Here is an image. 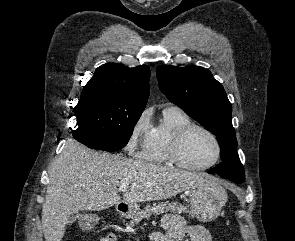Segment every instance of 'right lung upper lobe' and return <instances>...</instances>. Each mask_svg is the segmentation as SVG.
<instances>
[{"label": "right lung upper lobe", "instance_id": "obj_1", "mask_svg": "<svg viewBox=\"0 0 295 241\" xmlns=\"http://www.w3.org/2000/svg\"><path fill=\"white\" fill-rule=\"evenodd\" d=\"M149 79L150 69L147 65L129 68L106 63L96 69L92 79L84 86L81 97L99 91L145 108L149 96Z\"/></svg>", "mask_w": 295, "mask_h": 241}]
</instances>
